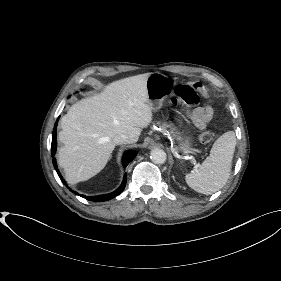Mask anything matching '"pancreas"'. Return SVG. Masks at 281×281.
Instances as JSON below:
<instances>
[{
	"label": "pancreas",
	"mask_w": 281,
	"mask_h": 281,
	"mask_svg": "<svg viewBox=\"0 0 281 281\" xmlns=\"http://www.w3.org/2000/svg\"><path fill=\"white\" fill-rule=\"evenodd\" d=\"M160 127L162 128V130H169L171 136L173 138H176L177 137V132H176V129L171 125V124H167V123H162L160 125Z\"/></svg>",
	"instance_id": "1"
}]
</instances>
